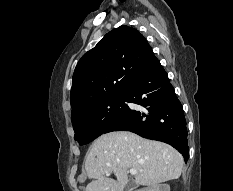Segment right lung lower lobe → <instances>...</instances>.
<instances>
[{"label": "right lung lower lobe", "mask_w": 233, "mask_h": 191, "mask_svg": "<svg viewBox=\"0 0 233 191\" xmlns=\"http://www.w3.org/2000/svg\"><path fill=\"white\" fill-rule=\"evenodd\" d=\"M127 102L144 107L128 109L104 133L131 131L144 138L168 143L188 160L186 120L167 73L153 55L145 70L127 91Z\"/></svg>", "instance_id": "98d812e1"}]
</instances>
